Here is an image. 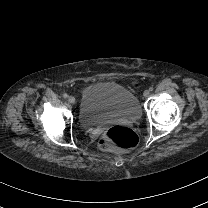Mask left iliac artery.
Returning <instances> with one entry per match:
<instances>
[{"label":"left iliac artery","mask_w":208,"mask_h":208,"mask_svg":"<svg viewBox=\"0 0 208 208\" xmlns=\"http://www.w3.org/2000/svg\"><path fill=\"white\" fill-rule=\"evenodd\" d=\"M153 90H154V88H153V87H150V88H149V91H153Z\"/></svg>","instance_id":"1"}]
</instances>
